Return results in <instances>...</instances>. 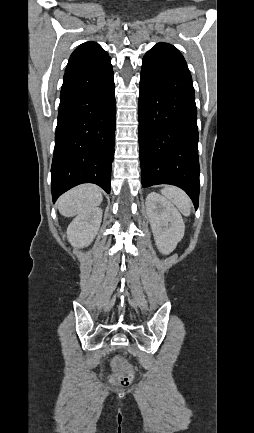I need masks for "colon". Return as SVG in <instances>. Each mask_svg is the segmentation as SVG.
Segmentation results:
<instances>
[{
    "label": "colon",
    "mask_w": 254,
    "mask_h": 433,
    "mask_svg": "<svg viewBox=\"0 0 254 433\" xmlns=\"http://www.w3.org/2000/svg\"><path fill=\"white\" fill-rule=\"evenodd\" d=\"M114 368L120 374L118 382L123 386L129 385L133 378L131 366L123 360H118L114 363Z\"/></svg>",
    "instance_id": "colon-1"
}]
</instances>
